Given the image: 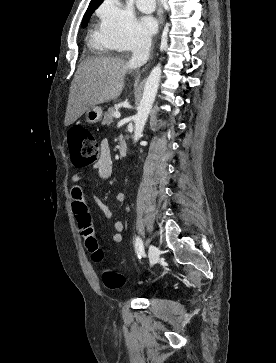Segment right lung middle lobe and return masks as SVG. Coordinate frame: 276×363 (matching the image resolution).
<instances>
[{
  "instance_id": "1",
  "label": "right lung middle lobe",
  "mask_w": 276,
  "mask_h": 363,
  "mask_svg": "<svg viewBox=\"0 0 276 363\" xmlns=\"http://www.w3.org/2000/svg\"><path fill=\"white\" fill-rule=\"evenodd\" d=\"M97 6H91V7H88L85 15H84V18L82 20V27H86L89 19H90V16L92 15V13L96 10Z\"/></svg>"
}]
</instances>
